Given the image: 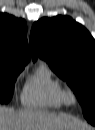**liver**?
Listing matches in <instances>:
<instances>
[{
    "mask_svg": "<svg viewBox=\"0 0 95 130\" xmlns=\"http://www.w3.org/2000/svg\"><path fill=\"white\" fill-rule=\"evenodd\" d=\"M87 130L88 127L67 114L27 108L14 110L1 107L0 130Z\"/></svg>",
    "mask_w": 95,
    "mask_h": 130,
    "instance_id": "6515ba94",
    "label": "liver"
}]
</instances>
